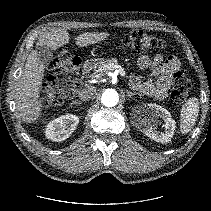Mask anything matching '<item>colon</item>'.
Masks as SVG:
<instances>
[{
  "label": "colon",
  "instance_id": "colon-1",
  "mask_svg": "<svg viewBox=\"0 0 211 211\" xmlns=\"http://www.w3.org/2000/svg\"><path fill=\"white\" fill-rule=\"evenodd\" d=\"M122 45L129 48L134 53L163 50L168 47L164 40L153 37L143 30H137L126 34L122 39ZM80 65L81 59L79 57H70L67 50H63L48 64L50 74L43 84L46 104L59 105L64 102L68 92L58 82V75L67 74L69 79H71L75 76V70L79 69ZM172 84L171 98L175 102H183L191 90V81L183 72L176 71L173 75Z\"/></svg>",
  "mask_w": 211,
  "mask_h": 211
}]
</instances>
